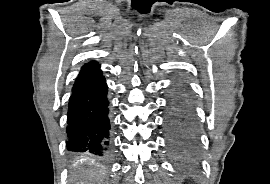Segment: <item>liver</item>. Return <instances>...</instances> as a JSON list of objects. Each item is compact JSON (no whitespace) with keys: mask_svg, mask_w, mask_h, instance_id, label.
<instances>
[{"mask_svg":"<svg viewBox=\"0 0 270 184\" xmlns=\"http://www.w3.org/2000/svg\"><path fill=\"white\" fill-rule=\"evenodd\" d=\"M102 177V172L97 170H88L80 175H75V179L85 180L88 184H95ZM83 184V183H81ZM99 184V183H98Z\"/></svg>","mask_w":270,"mask_h":184,"instance_id":"6515ba94","label":"liver"}]
</instances>
